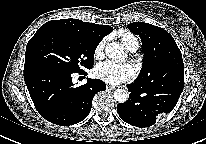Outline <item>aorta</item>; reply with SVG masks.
Masks as SVG:
<instances>
[{
  "instance_id": "1",
  "label": "aorta",
  "mask_w": 206,
  "mask_h": 144,
  "mask_svg": "<svg viewBox=\"0 0 206 144\" xmlns=\"http://www.w3.org/2000/svg\"><path fill=\"white\" fill-rule=\"evenodd\" d=\"M105 53L109 58L118 61H124L127 57L124 46L115 42L106 46ZM114 98L118 103H124L128 100L129 94L125 89H117L114 92Z\"/></svg>"
}]
</instances>
